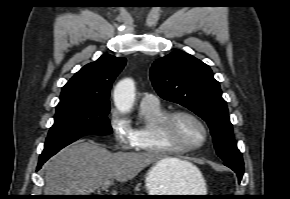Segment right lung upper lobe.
<instances>
[{
    "label": "right lung upper lobe",
    "mask_w": 290,
    "mask_h": 199,
    "mask_svg": "<svg viewBox=\"0 0 290 199\" xmlns=\"http://www.w3.org/2000/svg\"><path fill=\"white\" fill-rule=\"evenodd\" d=\"M126 64L125 58L102 55L82 67L64 85L57 108L72 105H110L113 81Z\"/></svg>",
    "instance_id": "obj_1"
}]
</instances>
